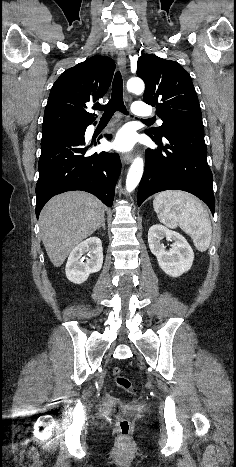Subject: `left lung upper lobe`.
<instances>
[{"label": "left lung upper lobe", "instance_id": "1", "mask_svg": "<svg viewBox=\"0 0 236 467\" xmlns=\"http://www.w3.org/2000/svg\"><path fill=\"white\" fill-rule=\"evenodd\" d=\"M137 75L145 82L144 102L155 106L163 121L159 128L146 130L161 139L177 127H203L201 109L188 72L177 62L143 54L137 62Z\"/></svg>", "mask_w": 236, "mask_h": 467}]
</instances>
